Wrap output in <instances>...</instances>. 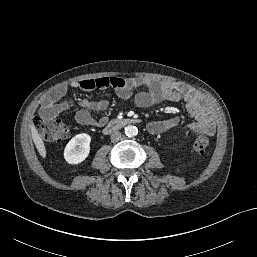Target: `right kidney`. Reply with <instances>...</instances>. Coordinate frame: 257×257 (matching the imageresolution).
I'll use <instances>...</instances> for the list:
<instances>
[{"instance_id": "right-kidney-1", "label": "right kidney", "mask_w": 257, "mask_h": 257, "mask_svg": "<svg viewBox=\"0 0 257 257\" xmlns=\"http://www.w3.org/2000/svg\"><path fill=\"white\" fill-rule=\"evenodd\" d=\"M91 137L86 133L77 134L66 145L64 158L69 164L83 162L90 152Z\"/></svg>"}]
</instances>
